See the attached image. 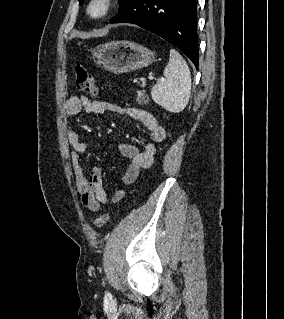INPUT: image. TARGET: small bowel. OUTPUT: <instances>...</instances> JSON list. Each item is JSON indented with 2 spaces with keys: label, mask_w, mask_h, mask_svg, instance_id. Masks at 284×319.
Masks as SVG:
<instances>
[{
  "label": "small bowel",
  "mask_w": 284,
  "mask_h": 319,
  "mask_svg": "<svg viewBox=\"0 0 284 319\" xmlns=\"http://www.w3.org/2000/svg\"><path fill=\"white\" fill-rule=\"evenodd\" d=\"M82 110L91 115H100L105 112L120 113L140 122L145 127L149 135V142L144 148L124 143L116 145L119 152L128 160L127 168L122 176V183L125 186L134 183L140 170L152 165L156 144L166 137L165 129L151 113L143 109L134 107L122 108L102 100H91L85 96H71L64 103V112L69 117L79 114ZM67 140L73 149L72 167L82 203L89 210L97 212L101 205L110 203L102 185V171L100 168L95 167L91 170L89 176L86 177L81 162V154L85 151L86 144L81 140L77 132L72 129L67 131ZM124 197L125 190L118 189L112 195L111 200L116 203Z\"/></svg>",
  "instance_id": "c3829d8e"
}]
</instances>
